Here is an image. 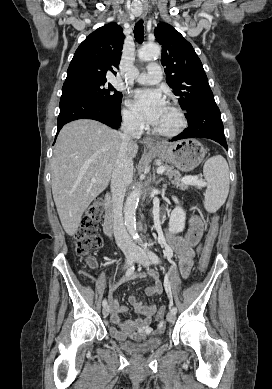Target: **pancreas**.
Listing matches in <instances>:
<instances>
[{"instance_id": "obj_1", "label": "pancreas", "mask_w": 272, "mask_h": 389, "mask_svg": "<svg viewBox=\"0 0 272 389\" xmlns=\"http://www.w3.org/2000/svg\"><path fill=\"white\" fill-rule=\"evenodd\" d=\"M164 167L166 169V175L168 176V178L173 179L172 183H174L179 189L186 190V189H188L189 185L196 186L195 184L184 183L183 178L181 179V174L178 171L174 170L173 167L168 166V165H164ZM189 177H192V176H189Z\"/></svg>"}]
</instances>
